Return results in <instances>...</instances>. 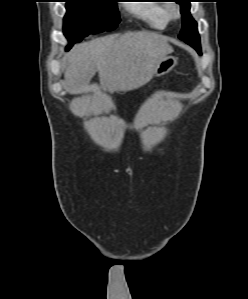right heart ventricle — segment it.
Returning a JSON list of instances; mask_svg holds the SVG:
<instances>
[{
  "label": "right heart ventricle",
  "mask_w": 248,
  "mask_h": 299,
  "mask_svg": "<svg viewBox=\"0 0 248 299\" xmlns=\"http://www.w3.org/2000/svg\"><path fill=\"white\" fill-rule=\"evenodd\" d=\"M166 5L152 1L131 6V12L153 28L164 29L169 24Z\"/></svg>",
  "instance_id": "e07e8e85"
}]
</instances>
